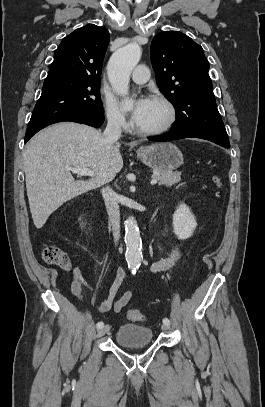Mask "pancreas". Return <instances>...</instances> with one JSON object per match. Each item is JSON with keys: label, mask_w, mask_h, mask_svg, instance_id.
<instances>
[{"label": "pancreas", "mask_w": 265, "mask_h": 407, "mask_svg": "<svg viewBox=\"0 0 265 407\" xmlns=\"http://www.w3.org/2000/svg\"><path fill=\"white\" fill-rule=\"evenodd\" d=\"M152 178L157 179L160 185L169 187L181 181V172L158 171Z\"/></svg>", "instance_id": "pancreas-1"}]
</instances>
